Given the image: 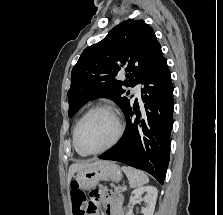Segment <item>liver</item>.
<instances>
[{
  "mask_svg": "<svg viewBox=\"0 0 223 215\" xmlns=\"http://www.w3.org/2000/svg\"><path fill=\"white\" fill-rule=\"evenodd\" d=\"M100 161H102V159H96V161H93V163H88V161H84V163H72V165H70L69 171H68V177H67L68 187H69L70 181H71L74 173H76V171H80V169H85V167H92V165H98V163H100Z\"/></svg>",
  "mask_w": 223,
  "mask_h": 215,
  "instance_id": "liver-1",
  "label": "liver"
}]
</instances>
